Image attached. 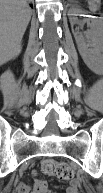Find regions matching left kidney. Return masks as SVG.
Instances as JSON below:
<instances>
[{
	"label": "left kidney",
	"instance_id": "5707ae66",
	"mask_svg": "<svg viewBox=\"0 0 103 193\" xmlns=\"http://www.w3.org/2000/svg\"><path fill=\"white\" fill-rule=\"evenodd\" d=\"M84 11L79 8H71L68 12L70 22L73 25L77 18L76 16H84ZM88 17V16H87ZM86 20L90 23V30L86 32L89 37L85 40L84 36L79 32H73L76 38L78 51L87 65V67L96 74H101L103 71V29L102 23L96 17Z\"/></svg>",
	"mask_w": 103,
	"mask_h": 193
}]
</instances>
